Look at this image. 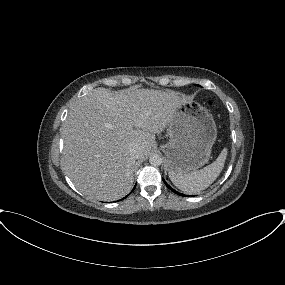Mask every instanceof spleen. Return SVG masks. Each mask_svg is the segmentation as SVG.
Masks as SVG:
<instances>
[{
  "label": "spleen",
  "instance_id": "obj_1",
  "mask_svg": "<svg viewBox=\"0 0 285 285\" xmlns=\"http://www.w3.org/2000/svg\"><path fill=\"white\" fill-rule=\"evenodd\" d=\"M227 157V148H224L218 158L201 170L190 173L169 172L172 183L186 194H197L209 187L221 173Z\"/></svg>",
  "mask_w": 285,
  "mask_h": 285
}]
</instances>
